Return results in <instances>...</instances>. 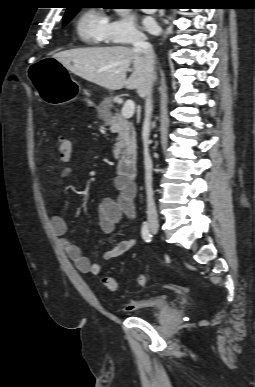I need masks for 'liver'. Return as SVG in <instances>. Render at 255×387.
<instances>
[{
	"mask_svg": "<svg viewBox=\"0 0 255 387\" xmlns=\"http://www.w3.org/2000/svg\"><path fill=\"white\" fill-rule=\"evenodd\" d=\"M53 58L75 75L109 91L125 87L138 92L146 84L144 57L134 48L113 46L70 49L54 54ZM131 70L127 78V72Z\"/></svg>",
	"mask_w": 255,
	"mask_h": 387,
	"instance_id": "liver-1",
	"label": "liver"
}]
</instances>
